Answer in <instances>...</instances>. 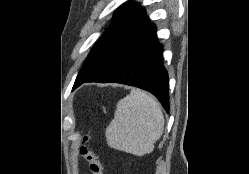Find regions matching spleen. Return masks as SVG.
<instances>
[{
	"label": "spleen",
	"instance_id": "3e777b00",
	"mask_svg": "<svg viewBox=\"0 0 249 174\" xmlns=\"http://www.w3.org/2000/svg\"><path fill=\"white\" fill-rule=\"evenodd\" d=\"M164 129V116L155 98L139 89L121 99L105 130L107 144L143 156L151 153Z\"/></svg>",
	"mask_w": 249,
	"mask_h": 174
}]
</instances>
